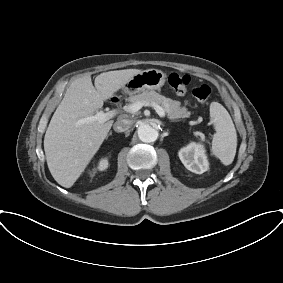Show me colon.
<instances>
[{
    "label": "colon",
    "mask_w": 283,
    "mask_h": 283,
    "mask_svg": "<svg viewBox=\"0 0 283 283\" xmlns=\"http://www.w3.org/2000/svg\"><path fill=\"white\" fill-rule=\"evenodd\" d=\"M168 83L176 93L184 94L189 89L191 78L188 75L171 73ZM191 93L198 101L205 103L209 100L212 90L207 84H199L192 88Z\"/></svg>",
    "instance_id": "colon-1"
}]
</instances>
